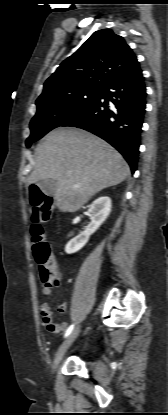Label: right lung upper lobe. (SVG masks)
<instances>
[{
	"instance_id": "cb5924a9",
	"label": "right lung upper lobe",
	"mask_w": 168,
	"mask_h": 415,
	"mask_svg": "<svg viewBox=\"0 0 168 415\" xmlns=\"http://www.w3.org/2000/svg\"><path fill=\"white\" fill-rule=\"evenodd\" d=\"M138 64L125 40L110 29L94 32L46 80L36 105L84 89H103Z\"/></svg>"
}]
</instances>
